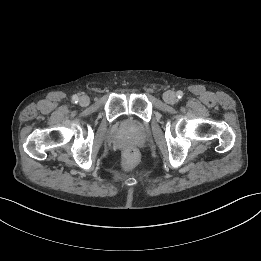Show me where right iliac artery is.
Segmentation results:
<instances>
[{
	"instance_id": "1",
	"label": "right iliac artery",
	"mask_w": 261,
	"mask_h": 261,
	"mask_svg": "<svg viewBox=\"0 0 261 261\" xmlns=\"http://www.w3.org/2000/svg\"><path fill=\"white\" fill-rule=\"evenodd\" d=\"M78 101H79L78 96H77V95H74V96L72 97V102L76 104Z\"/></svg>"
}]
</instances>
